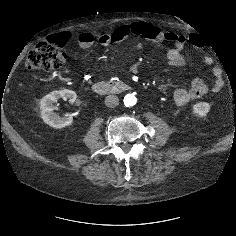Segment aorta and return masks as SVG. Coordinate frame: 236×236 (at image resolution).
Wrapping results in <instances>:
<instances>
[{"label": "aorta", "instance_id": "762f6f07", "mask_svg": "<svg viewBox=\"0 0 236 236\" xmlns=\"http://www.w3.org/2000/svg\"><path fill=\"white\" fill-rule=\"evenodd\" d=\"M123 101L126 107H132L137 103V98L134 94H127Z\"/></svg>", "mask_w": 236, "mask_h": 236}]
</instances>
